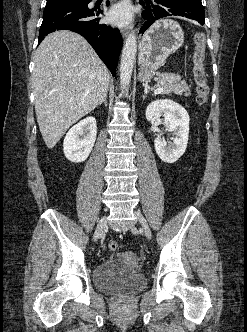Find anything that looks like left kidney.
Segmentation results:
<instances>
[{"instance_id":"5707ae66","label":"left kidney","mask_w":247,"mask_h":332,"mask_svg":"<svg viewBox=\"0 0 247 332\" xmlns=\"http://www.w3.org/2000/svg\"><path fill=\"white\" fill-rule=\"evenodd\" d=\"M164 117V125L169 132H173L172 142L168 145L158 135L154 146L159 158L166 163L176 162L185 152L189 138V115L178 103L169 100H156L146 108V119L160 122Z\"/></svg>"}]
</instances>
